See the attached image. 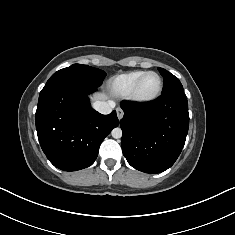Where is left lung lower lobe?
<instances>
[{"label":"left lung lower lobe","mask_w":235,"mask_h":235,"mask_svg":"<svg viewBox=\"0 0 235 235\" xmlns=\"http://www.w3.org/2000/svg\"><path fill=\"white\" fill-rule=\"evenodd\" d=\"M122 151L128 163L146 173L170 168L185 144L189 127L184 91L162 94L153 102H121Z\"/></svg>","instance_id":"1"}]
</instances>
